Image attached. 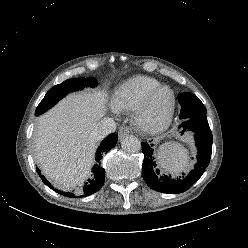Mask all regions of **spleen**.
Listing matches in <instances>:
<instances>
[{
    "label": "spleen",
    "mask_w": 248,
    "mask_h": 248,
    "mask_svg": "<svg viewBox=\"0 0 248 248\" xmlns=\"http://www.w3.org/2000/svg\"><path fill=\"white\" fill-rule=\"evenodd\" d=\"M156 156L161 168L173 176L186 171L190 165L188 150L176 142H166L161 145Z\"/></svg>",
    "instance_id": "3e777b00"
}]
</instances>
